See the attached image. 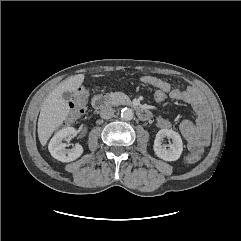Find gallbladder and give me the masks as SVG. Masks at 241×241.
<instances>
[{
  "label": "gallbladder",
  "instance_id": "gallbladder-1",
  "mask_svg": "<svg viewBox=\"0 0 241 241\" xmlns=\"http://www.w3.org/2000/svg\"><path fill=\"white\" fill-rule=\"evenodd\" d=\"M62 96L67 102L72 100V93L71 92L66 91L62 94Z\"/></svg>",
  "mask_w": 241,
  "mask_h": 241
}]
</instances>
